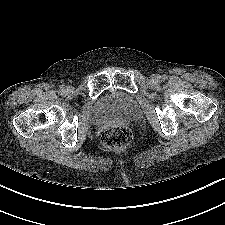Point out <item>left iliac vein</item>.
I'll return each instance as SVG.
<instances>
[{
    "label": "left iliac vein",
    "instance_id": "1",
    "mask_svg": "<svg viewBox=\"0 0 225 225\" xmlns=\"http://www.w3.org/2000/svg\"><path fill=\"white\" fill-rule=\"evenodd\" d=\"M151 79H152L153 81H157V80L159 79V76H158L157 74H153V75L151 76Z\"/></svg>",
    "mask_w": 225,
    "mask_h": 225
}]
</instances>
